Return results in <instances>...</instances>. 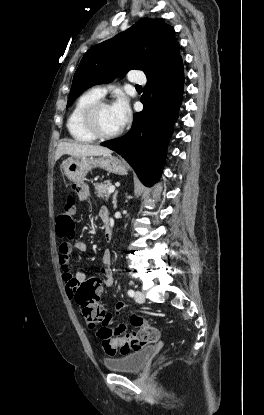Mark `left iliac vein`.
Returning a JSON list of instances; mask_svg holds the SVG:
<instances>
[{
	"mask_svg": "<svg viewBox=\"0 0 264 415\" xmlns=\"http://www.w3.org/2000/svg\"><path fill=\"white\" fill-rule=\"evenodd\" d=\"M134 298H135V301L138 302V303H143L145 301L144 294L139 290H137L135 292V297Z\"/></svg>",
	"mask_w": 264,
	"mask_h": 415,
	"instance_id": "1",
	"label": "left iliac vein"
}]
</instances>
